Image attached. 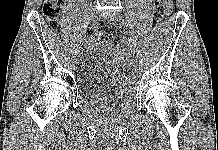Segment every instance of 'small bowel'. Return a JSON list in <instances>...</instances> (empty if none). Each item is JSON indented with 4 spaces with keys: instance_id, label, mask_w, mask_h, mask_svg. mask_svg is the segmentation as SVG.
Listing matches in <instances>:
<instances>
[{
    "instance_id": "obj_1",
    "label": "small bowel",
    "mask_w": 218,
    "mask_h": 150,
    "mask_svg": "<svg viewBox=\"0 0 218 150\" xmlns=\"http://www.w3.org/2000/svg\"><path fill=\"white\" fill-rule=\"evenodd\" d=\"M162 2L169 10H171V8L173 6L172 0H162Z\"/></svg>"
}]
</instances>
